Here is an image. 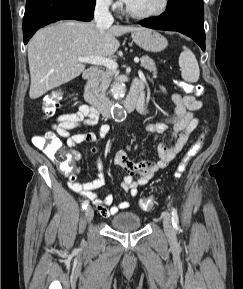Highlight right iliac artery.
<instances>
[{"instance_id": "right-iliac-artery-1", "label": "right iliac artery", "mask_w": 243, "mask_h": 289, "mask_svg": "<svg viewBox=\"0 0 243 289\" xmlns=\"http://www.w3.org/2000/svg\"><path fill=\"white\" fill-rule=\"evenodd\" d=\"M88 204H89V201H88V200L83 201V203H82V205H81L82 210L86 209L87 206H88Z\"/></svg>"}]
</instances>
